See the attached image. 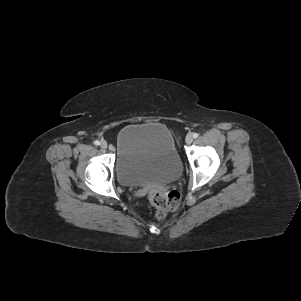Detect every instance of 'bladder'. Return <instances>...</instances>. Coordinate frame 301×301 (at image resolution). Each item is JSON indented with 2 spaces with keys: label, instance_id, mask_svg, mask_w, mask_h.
<instances>
[{
  "label": "bladder",
  "instance_id": "bladder-1",
  "mask_svg": "<svg viewBox=\"0 0 301 301\" xmlns=\"http://www.w3.org/2000/svg\"><path fill=\"white\" fill-rule=\"evenodd\" d=\"M116 176L125 186L165 185L182 163L169 129L160 123L129 124L116 137Z\"/></svg>",
  "mask_w": 301,
  "mask_h": 301
}]
</instances>
